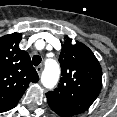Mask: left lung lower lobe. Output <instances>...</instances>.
<instances>
[{"label":"left lung lower lobe","mask_w":117,"mask_h":117,"mask_svg":"<svg viewBox=\"0 0 117 117\" xmlns=\"http://www.w3.org/2000/svg\"><path fill=\"white\" fill-rule=\"evenodd\" d=\"M49 106L51 107V109L56 112L59 116L62 117H69V116H74L79 114V112H77L76 110H74L72 107L63 104L61 102H54L51 100H47Z\"/></svg>","instance_id":"obj_1"}]
</instances>
